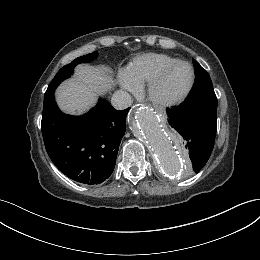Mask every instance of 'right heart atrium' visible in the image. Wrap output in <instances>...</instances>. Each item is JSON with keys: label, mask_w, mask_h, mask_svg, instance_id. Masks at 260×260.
Masks as SVG:
<instances>
[{"label": "right heart atrium", "mask_w": 260, "mask_h": 260, "mask_svg": "<svg viewBox=\"0 0 260 260\" xmlns=\"http://www.w3.org/2000/svg\"><path fill=\"white\" fill-rule=\"evenodd\" d=\"M120 84L121 86L131 92H137L140 89V85H137L135 83H133L132 81H130L126 75L124 77L120 78Z\"/></svg>", "instance_id": "obj_1"}]
</instances>
